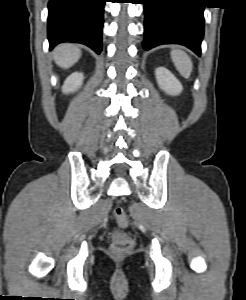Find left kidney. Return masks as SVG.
<instances>
[{"instance_id":"5707ae66","label":"left kidney","mask_w":246,"mask_h":300,"mask_svg":"<svg viewBox=\"0 0 246 300\" xmlns=\"http://www.w3.org/2000/svg\"><path fill=\"white\" fill-rule=\"evenodd\" d=\"M159 87L169 95H179L182 90L180 81L165 67H158L155 70Z\"/></svg>"}]
</instances>
